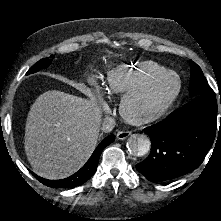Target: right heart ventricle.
<instances>
[{"instance_id":"e07e8e85","label":"right heart ventricle","mask_w":221,"mask_h":221,"mask_svg":"<svg viewBox=\"0 0 221 221\" xmlns=\"http://www.w3.org/2000/svg\"><path fill=\"white\" fill-rule=\"evenodd\" d=\"M165 71H167L165 67L153 61L119 65L107 73V90L114 94H125L144 86Z\"/></svg>"}]
</instances>
